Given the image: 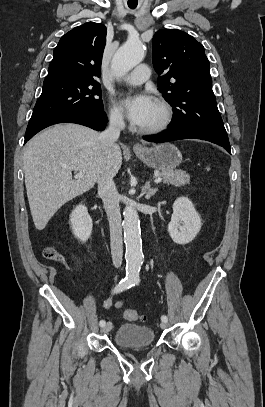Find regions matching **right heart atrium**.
Segmentation results:
<instances>
[{
	"label": "right heart atrium",
	"mask_w": 265,
	"mask_h": 407,
	"mask_svg": "<svg viewBox=\"0 0 265 407\" xmlns=\"http://www.w3.org/2000/svg\"><path fill=\"white\" fill-rule=\"evenodd\" d=\"M108 119L110 124L114 127L123 128L125 126L124 116L121 111L115 106L110 107Z\"/></svg>",
	"instance_id": "d8ad5b80"
}]
</instances>
